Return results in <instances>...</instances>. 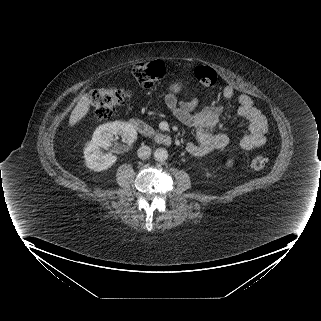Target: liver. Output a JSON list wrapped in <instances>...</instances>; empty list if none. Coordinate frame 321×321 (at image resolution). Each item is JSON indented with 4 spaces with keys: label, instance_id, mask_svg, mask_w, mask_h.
I'll return each mask as SVG.
<instances>
[{
    "label": "liver",
    "instance_id": "1",
    "mask_svg": "<svg viewBox=\"0 0 321 321\" xmlns=\"http://www.w3.org/2000/svg\"><path fill=\"white\" fill-rule=\"evenodd\" d=\"M90 103L91 101L89 99V95L83 94L69 117L70 127H73L74 125L79 123L87 115V113L89 112Z\"/></svg>",
    "mask_w": 321,
    "mask_h": 321
}]
</instances>
